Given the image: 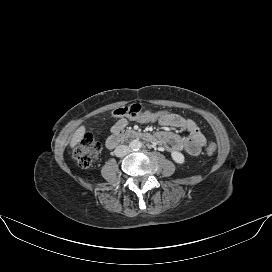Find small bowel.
<instances>
[{
	"instance_id": "small-bowel-1",
	"label": "small bowel",
	"mask_w": 272,
	"mask_h": 272,
	"mask_svg": "<svg viewBox=\"0 0 272 272\" xmlns=\"http://www.w3.org/2000/svg\"><path fill=\"white\" fill-rule=\"evenodd\" d=\"M160 125L167 128H179L187 135L182 136L171 131H161L155 134L156 140L164 145L168 151H185L190 155H198L206 144V136L200 131L196 123L183 116L166 113L158 118ZM127 120L122 118L116 122L113 130L126 127Z\"/></svg>"
}]
</instances>
